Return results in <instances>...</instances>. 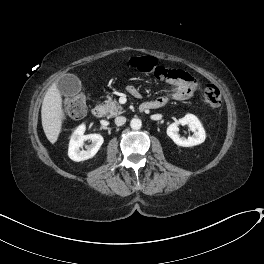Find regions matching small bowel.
Instances as JSON below:
<instances>
[{
  "label": "small bowel",
  "instance_id": "1",
  "mask_svg": "<svg viewBox=\"0 0 264 264\" xmlns=\"http://www.w3.org/2000/svg\"><path fill=\"white\" fill-rule=\"evenodd\" d=\"M172 71L173 75L166 80V83L170 87L169 97L177 100L190 97L198 89V82L181 69H174ZM128 91L134 97L140 98L141 96L140 92L134 87H130ZM134 91H137L139 95L135 96L133 94ZM169 97L162 96L151 100H145L141 105H146L149 109H158L168 102Z\"/></svg>",
  "mask_w": 264,
  "mask_h": 264
}]
</instances>
